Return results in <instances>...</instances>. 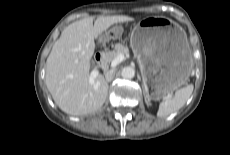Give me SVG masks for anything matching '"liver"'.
Instances as JSON below:
<instances>
[{
	"label": "liver",
	"instance_id": "6515ba94",
	"mask_svg": "<svg viewBox=\"0 0 230 155\" xmlns=\"http://www.w3.org/2000/svg\"><path fill=\"white\" fill-rule=\"evenodd\" d=\"M125 15L87 17L68 25L54 43L46 61V85L56 105L65 113L96 112L107 98L108 83L102 74L90 81V59L95 39L110 26L133 21Z\"/></svg>",
	"mask_w": 230,
	"mask_h": 155
}]
</instances>
